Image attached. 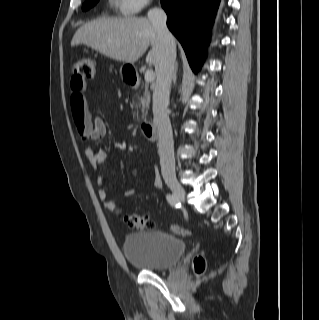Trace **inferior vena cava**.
I'll list each match as a JSON object with an SVG mask.
<instances>
[{
    "mask_svg": "<svg viewBox=\"0 0 319 320\" xmlns=\"http://www.w3.org/2000/svg\"><path fill=\"white\" fill-rule=\"evenodd\" d=\"M148 19L155 28L162 48L153 91V116L159 133V156L163 176H175L173 135L166 109L169 104L171 80L174 75L176 44L166 25V13L160 8L149 10Z\"/></svg>",
    "mask_w": 319,
    "mask_h": 320,
    "instance_id": "inferior-vena-cava-1",
    "label": "inferior vena cava"
}]
</instances>
